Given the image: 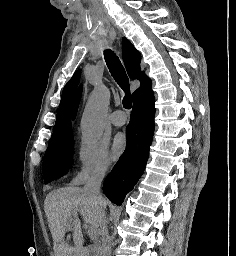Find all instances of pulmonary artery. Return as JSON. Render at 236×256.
<instances>
[{"label": "pulmonary artery", "instance_id": "obj_1", "mask_svg": "<svg viewBox=\"0 0 236 256\" xmlns=\"http://www.w3.org/2000/svg\"><path fill=\"white\" fill-rule=\"evenodd\" d=\"M111 122L115 126H123L126 123V119L119 118L115 114H113L110 118Z\"/></svg>", "mask_w": 236, "mask_h": 256}]
</instances>
